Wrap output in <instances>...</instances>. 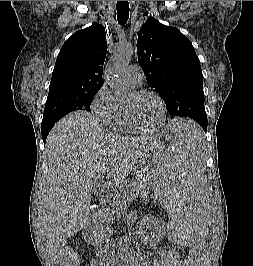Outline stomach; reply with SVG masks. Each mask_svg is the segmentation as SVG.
<instances>
[{"label": "stomach", "mask_w": 253, "mask_h": 266, "mask_svg": "<svg viewBox=\"0 0 253 266\" xmlns=\"http://www.w3.org/2000/svg\"><path fill=\"white\" fill-rule=\"evenodd\" d=\"M163 153H168V149H165V145L162 142H158L151 145L146 154L141 157L139 164L141 170L149 177L158 176V171L161 169L156 168V161L161 160Z\"/></svg>", "instance_id": "1"}]
</instances>
